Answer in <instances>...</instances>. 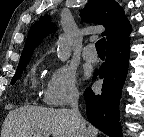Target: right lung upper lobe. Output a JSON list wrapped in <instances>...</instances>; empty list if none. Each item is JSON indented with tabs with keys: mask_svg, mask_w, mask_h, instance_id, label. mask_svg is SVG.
<instances>
[{
	"mask_svg": "<svg viewBox=\"0 0 144 137\" xmlns=\"http://www.w3.org/2000/svg\"><path fill=\"white\" fill-rule=\"evenodd\" d=\"M80 16L86 22L103 25L107 36L106 48L119 45L129 39L130 24L123 8L115 0H89ZM54 24L45 15L37 21L29 31L28 38L21 54L20 64L29 62L33 50L50 32H54Z\"/></svg>",
	"mask_w": 144,
	"mask_h": 137,
	"instance_id": "right-lung-upper-lobe-1",
	"label": "right lung upper lobe"
}]
</instances>
